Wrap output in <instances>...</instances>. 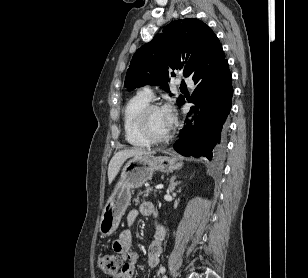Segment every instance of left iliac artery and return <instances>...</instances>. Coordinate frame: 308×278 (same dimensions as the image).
<instances>
[{"label": "left iliac artery", "mask_w": 308, "mask_h": 278, "mask_svg": "<svg viewBox=\"0 0 308 278\" xmlns=\"http://www.w3.org/2000/svg\"><path fill=\"white\" fill-rule=\"evenodd\" d=\"M159 271H160L161 273H165L166 269H165V267H161ZM163 278H166V276H164Z\"/></svg>", "instance_id": "obj_1"}]
</instances>
